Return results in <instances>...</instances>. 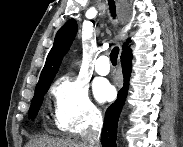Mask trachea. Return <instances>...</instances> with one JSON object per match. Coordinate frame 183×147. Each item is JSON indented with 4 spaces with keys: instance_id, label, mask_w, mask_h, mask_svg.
Returning a JSON list of instances; mask_svg holds the SVG:
<instances>
[{
    "instance_id": "1",
    "label": "trachea",
    "mask_w": 183,
    "mask_h": 147,
    "mask_svg": "<svg viewBox=\"0 0 183 147\" xmlns=\"http://www.w3.org/2000/svg\"><path fill=\"white\" fill-rule=\"evenodd\" d=\"M108 4H109V9L112 17H115V2L109 1ZM118 54H119V48L114 47L110 53V60L113 66L117 65Z\"/></svg>"
}]
</instances>
